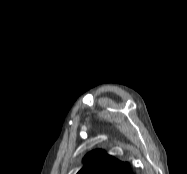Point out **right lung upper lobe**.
Listing matches in <instances>:
<instances>
[{
    "label": "right lung upper lobe",
    "mask_w": 187,
    "mask_h": 174,
    "mask_svg": "<svg viewBox=\"0 0 187 174\" xmlns=\"http://www.w3.org/2000/svg\"><path fill=\"white\" fill-rule=\"evenodd\" d=\"M84 163V167L77 174H132L128 163H122L102 150L88 153Z\"/></svg>",
    "instance_id": "cb5924a9"
}]
</instances>
